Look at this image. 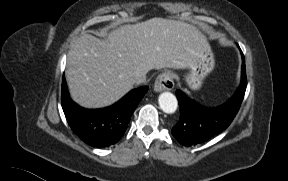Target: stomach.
<instances>
[{"label": "stomach", "instance_id": "0dacf381", "mask_svg": "<svg viewBox=\"0 0 288 181\" xmlns=\"http://www.w3.org/2000/svg\"><path fill=\"white\" fill-rule=\"evenodd\" d=\"M215 64L211 47L206 40L199 43L193 51L192 62L188 67L186 82L192 90L201 87L205 77L213 70Z\"/></svg>", "mask_w": 288, "mask_h": 181}]
</instances>
